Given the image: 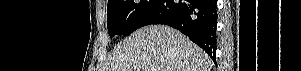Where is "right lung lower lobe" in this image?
I'll return each instance as SVG.
<instances>
[{
    "mask_svg": "<svg viewBox=\"0 0 301 71\" xmlns=\"http://www.w3.org/2000/svg\"><path fill=\"white\" fill-rule=\"evenodd\" d=\"M150 24H165L176 28L216 62V0H157L141 21L140 27Z\"/></svg>",
    "mask_w": 301,
    "mask_h": 71,
    "instance_id": "1",
    "label": "right lung lower lobe"
}]
</instances>
